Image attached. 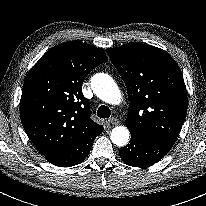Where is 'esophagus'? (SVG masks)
<instances>
[{
	"label": "esophagus",
	"instance_id": "1",
	"mask_svg": "<svg viewBox=\"0 0 206 206\" xmlns=\"http://www.w3.org/2000/svg\"><path fill=\"white\" fill-rule=\"evenodd\" d=\"M108 122L112 125H117L119 123L118 119L115 117H112L108 120Z\"/></svg>",
	"mask_w": 206,
	"mask_h": 206
}]
</instances>
